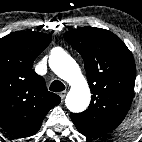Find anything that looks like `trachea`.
<instances>
[{"instance_id": "obj_1", "label": "trachea", "mask_w": 142, "mask_h": 142, "mask_svg": "<svg viewBox=\"0 0 142 142\" xmlns=\"http://www.w3.org/2000/svg\"><path fill=\"white\" fill-rule=\"evenodd\" d=\"M64 89H65L64 84L59 80L53 81L50 85V90L53 92H60L63 91Z\"/></svg>"}]
</instances>
